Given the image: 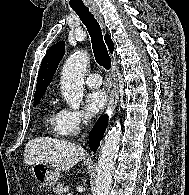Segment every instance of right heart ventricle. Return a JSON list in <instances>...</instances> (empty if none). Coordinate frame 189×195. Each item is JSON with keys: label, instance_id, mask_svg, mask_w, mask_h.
Wrapping results in <instances>:
<instances>
[{"label": "right heart ventricle", "instance_id": "obj_1", "mask_svg": "<svg viewBox=\"0 0 189 195\" xmlns=\"http://www.w3.org/2000/svg\"><path fill=\"white\" fill-rule=\"evenodd\" d=\"M61 110L58 109L55 103H51L46 109L44 117V129L46 133L63 136L65 135L61 130Z\"/></svg>", "mask_w": 189, "mask_h": 195}]
</instances>
